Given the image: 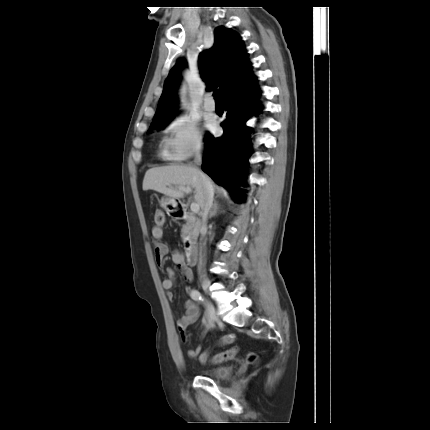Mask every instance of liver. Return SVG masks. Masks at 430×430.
<instances>
[{
    "instance_id": "1",
    "label": "liver",
    "mask_w": 430,
    "mask_h": 430,
    "mask_svg": "<svg viewBox=\"0 0 430 430\" xmlns=\"http://www.w3.org/2000/svg\"><path fill=\"white\" fill-rule=\"evenodd\" d=\"M202 172L195 167L187 165H168L155 167L146 171L143 179V190H155L170 198L179 199L184 197V191L174 186H191L195 189L194 200L201 206L203 197Z\"/></svg>"
}]
</instances>
